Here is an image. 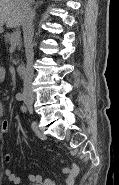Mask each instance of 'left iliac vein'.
<instances>
[{
    "label": "left iliac vein",
    "instance_id": "obj_1",
    "mask_svg": "<svg viewBox=\"0 0 119 185\" xmlns=\"http://www.w3.org/2000/svg\"><path fill=\"white\" fill-rule=\"evenodd\" d=\"M27 107H28V111H29L30 113H32V112H33V107H32V105L27 104Z\"/></svg>",
    "mask_w": 119,
    "mask_h": 185
}]
</instances>
